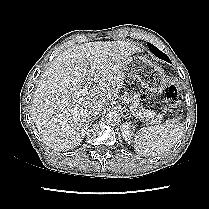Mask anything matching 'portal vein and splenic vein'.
I'll return each mask as SVG.
<instances>
[{
  "instance_id": "1",
  "label": "portal vein and splenic vein",
  "mask_w": 209,
  "mask_h": 209,
  "mask_svg": "<svg viewBox=\"0 0 209 209\" xmlns=\"http://www.w3.org/2000/svg\"><path fill=\"white\" fill-rule=\"evenodd\" d=\"M88 93H89V90L87 87H83L80 91H76V95L79 97L86 96V95H88ZM130 111H131L132 115L135 116V111L132 109H130Z\"/></svg>"
}]
</instances>
